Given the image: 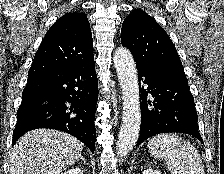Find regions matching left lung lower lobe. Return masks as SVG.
<instances>
[{
    "instance_id": "0a47b994",
    "label": "left lung lower lobe",
    "mask_w": 224,
    "mask_h": 174,
    "mask_svg": "<svg viewBox=\"0 0 224 174\" xmlns=\"http://www.w3.org/2000/svg\"><path fill=\"white\" fill-rule=\"evenodd\" d=\"M142 87L141 126L137 145L160 134L179 132L192 135L203 143L198 131L194 98L186 76L137 66ZM153 98L148 100L147 96Z\"/></svg>"
}]
</instances>
